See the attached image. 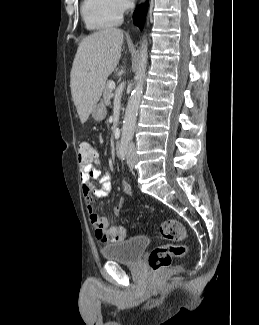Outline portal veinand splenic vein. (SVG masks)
<instances>
[{
    "instance_id": "portal-vein-and-splenic-vein-1",
    "label": "portal vein and splenic vein",
    "mask_w": 259,
    "mask_h": 325,
    "mask_svg": "<svg viewBox=\"0 0 259 325\" xmlns=\"http://www.w3.org/2000/svg\"><path fill=\"white\" fill-rule=\"evenodd\" d=\"M109 86H110L111 89H115V83L113 81L110 82Z\"/></svg>"
}]
</instances>
